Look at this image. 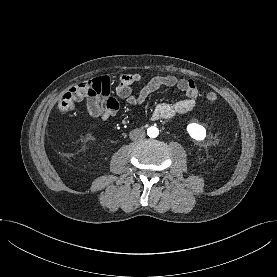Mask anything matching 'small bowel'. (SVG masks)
I'll return each instance as SVG.
<instances>
[{
	"instance_id": "c3829d8e",
	"label": "small bowel",
	"mask_w": 277,
	"mask_h": 277,
	"mask_svg": "<svg viewBox=\"0 0 277 277\" xmlns=\"http://www.w3.org/2000/svg\"><path fill=\"white\" fill-rule=\"evenodd\" d=\"M142 81L139 73L123 74L119 78V83L115 88L118 98L124 100L132 106L141 105L148 96L160 87H175L185 95L175 103H159L153 110V120H168L177 114L191 111L196 104L198 89L191 79L177 78L173 75L155 76L147 80L146 84L137 93H133V86ZM87 91L80 99H85L87 113L90 117L107 121L119 109L118 101L111 96L113 81L108 76L97 77L85 83Z\"/></svg>"
}]
</instances>
